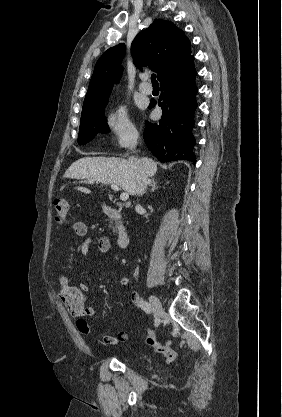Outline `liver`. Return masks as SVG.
<instances>
[{
	"instance_id": "1",
	"label": "liver",
	"mask_w": 282,
	"mask_h": 417,
	"mask_svg": "<svg viewBox=\"0 0 282 417\" xmlns=\"http://www.w3.org/2000/svg\"><path fill=\"white\" fill-rule=\"evenodd\" d=\"M143 166L147 176L157 172V162L142 156L135 160H125L119 156H83L72 162L64 176L67 178H88L103 184H117L129 194H135L137 186L138 166ZM77 190L89 194L91 190L85 186H76Z\"/></svg>"
}]
</instances>
